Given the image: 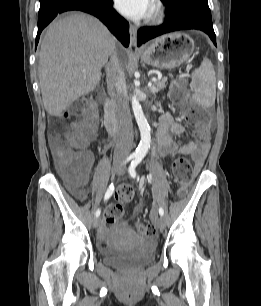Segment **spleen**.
<instances>
[{
    "instance_id": "obj_1",
    "label": "spleen",
    "mask_w": 261,
    "mask_h": 306,
    "mask_svg": "<svg viewBox=\"0 0 261 306\" xmlns=\"http://www.w3.org/2000/svg\"><path fill=\"white\" fill-rule=\"evenodd\" d=\"M192 90L194 99L203 107H211L216 98V77L210 59L204 58L199 68L192 73Z\"/></svg>"
}]
</instances>
